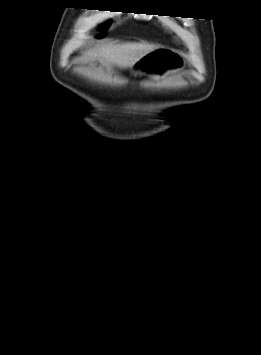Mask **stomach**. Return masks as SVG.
I'll use <instances>...</instances> for the list:
<instances>
[{
  "label": "stomach",
  "mask_w": 261,
  "mask_h": 355,
  "mask_svg": "<svg viewBox=\"0 0 261 355\" xmlns=\"http://www.w3.org/2000/svg\"><path fill=\"white\" fill-rule=\"evenodd\" d=\"M184 64V59L177 51L158 47L140 58L134 66L139 71L165 73L179 70L184 67Z\"/></svg>",
  "instance_id": "0dacf381"
}]
</instances>
